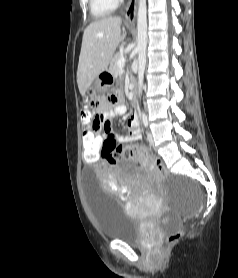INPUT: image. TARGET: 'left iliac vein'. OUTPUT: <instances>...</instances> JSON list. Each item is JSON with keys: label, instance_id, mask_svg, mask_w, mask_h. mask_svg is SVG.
Masks as SVG:
<instances>
[{"label": "left iliac vein", "instance_id": "left-iliac-vein-1", "mask_svg": "<svg viewBox=\"0 0 238 278\" xmlns=\"http://www.w3.org/2000/svg\"><path fill=\"white\" fill-rule=\"evenodd\" d=\"M147 139L151 145H154V137L151 132L147 133Z\"/></svg>", "mask_w": 238, "mask_h": 278}]
</instances>
